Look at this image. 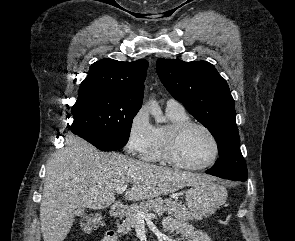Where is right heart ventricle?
I'll list each match as a JSON object with an SVG mask.
<instances>
[{
	"label": "right heart ventricle",
	"mask_w": 295,
	"mask_h": 241,
	"mask_svg": "<svg viewBox=\"0 0 295 241\" xmlns=\"http://www.w3.org/2000/svg\"><path fill=\"white\" fill-rule=\"evenodd\" d=\"M167 116L170 120V124L166 126H158L154 127V132H153V139L151 146L149 147L148 151L146 154L143 156L146 160L149 161H160L163 159L162 157V142H163V137L165 134V131L167 128L174 124V123H179V122H184V121H189L190 117L186 113L185 110H176V109H166Z\"/></svg>",
	"instance_id": "obj_1"
}]
</instances>
